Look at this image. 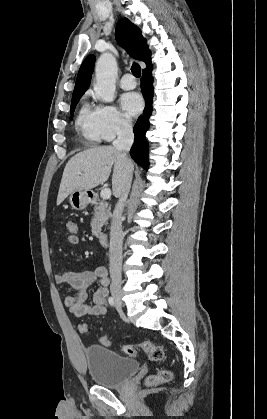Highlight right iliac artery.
<instances>
[{
  "label": "right iliac artery",
  "instance_id": "1",
  "mask_svg": "<svg viewBox=\"0 0 267 419\" xmlns=\"http://www.w3.org/2000/svg\"><path fill=\"white\" fill-rule=\"evenodd\" d=\"M108 302H109L110 306H112V307L114 306L115 301H114L113 297H109Z\"/></svg>",
  "mask_w": 267,
  "mask_h": 419
}]
</instances>
